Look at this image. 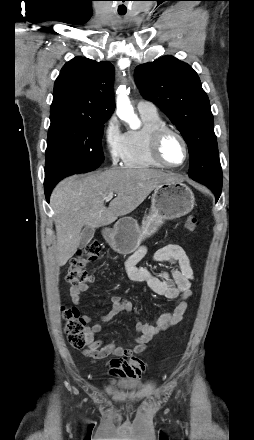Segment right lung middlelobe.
Listing matches in <instances>:
<instances>
[{"label": "right lung middle lobe", "instance_id": "dd1d6c3e", "mask_svg": "<svg viewBox=\"0 0 254 440\" xmlns=\"http://www.w3.org/2000/svg\"><path fill=\"white\" fill-rule=\"evenodd\" d=\"M50 120L44 185H54L66 176L100 166L104 161L101 138L107 119L60 112L50 115Z\"/></svg>", "mask_w": 254, "mask_h": 440}]
</instances>
